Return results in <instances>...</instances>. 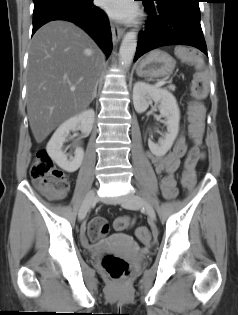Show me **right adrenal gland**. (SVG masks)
Returning a JSON list of instances; mask_svg holds the SVG:
<instances>
[{
    "label": "right adrenal gland",
    "instance_id": "obj_1",
    "mask_svg": "<svg viewBox=\"0 0 238 315\" xmlns=\"http://www.w3.org/2000/svg\"><path fill=\"white\" fill-rule=\"evenodd\" d=\"M97 86H98V81L96 82L95 89H94V93H93V96H92L90 102H92L93 99L96 98V96H97Z\"/></svg>",
    "mask_w": 238,
    "mask_h": 315
}]
</instances>
